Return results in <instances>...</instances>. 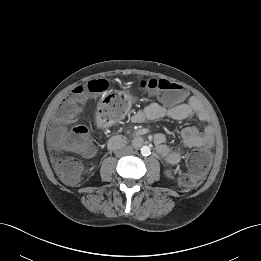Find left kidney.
<instances>
[{"label": "left kidney", "mask_w": 261, "mask_h": 261, "mask_svg": "<svg viewBox=\"0 0 261 261\" xmlns=\"http://www.w3.org/2000/svg\"><path fill=\"white\" fill-rule=\"evenodd\" d=\"M165 174H166L167 177H171V173H170L169 170L165 171Z\"/></svg>", "instance_id": "1"}]
</instances>
